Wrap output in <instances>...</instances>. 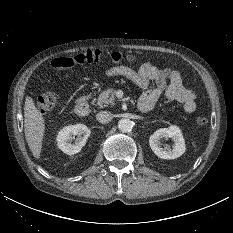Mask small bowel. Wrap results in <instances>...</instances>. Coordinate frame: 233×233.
Instances as JSON below:
<instances>
[{
	"label": "small bowel",
	"mask_w": 233,
	"mask_h": 233,
	"mask_svg": "<svg viewBox=\"0 0 233 233\" xmlns=\"http://www.w3.org/2000/svg\"><path fill=\"white\" fill-rule=\"evenodd\" d=\"M105 74L108 77L127 78L145 89L139 99L138 107L143 106L147 111L155 106L161 95L170 102L180 103L186 113L190 114L196 110V93L184 87L182 77L176 71L168 68L160 69L153 63L146 62L138 70L125 65H116L108 68ZM151 82L155 83L154 88H149Z\"/></svg>",
	"instance_id": "1"
}]
</instances>
